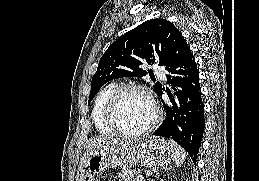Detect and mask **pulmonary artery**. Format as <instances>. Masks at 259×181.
I'll return each mask as SVG.
<instances>
[{"mask_svg":"<svg viewBox=\"0 0 259 181\" xmlns=\"http://www.w3.org/2000/svg\"><path fill=\"white\" fill-rule=\"evenodd\" d=\"M155 72L158 75V77H160L161 79H165V74L162 70L156 68Z\"/></svg>","mask_w":259,"mask_h":181,"instance_id":"obj_1","label":"pulmonary artery"}]
</instances>
